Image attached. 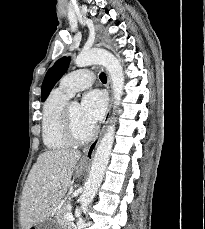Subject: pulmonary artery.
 I'll return each mask as SVG.
<instances>
[{
    "mask_svg": "<svg viewBox=\"0 0 205 229\" xmlns=\"http://www.w3.org/2000/svg\"><path fill=\"white\" fill-rule=\"evenodd\" d=\"M94 81L93 73L88 69H79L64 76L59 84V89L73 96L76 92L86 89Z\"/></svg>",
    "mask_w": 205,
    "mask_h": 229,
    "instance_id": "pulmonary-artery-1",
    "label": "pulmonary artery"
}]
</instances>
